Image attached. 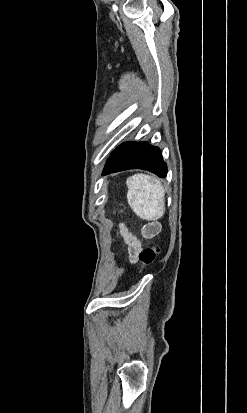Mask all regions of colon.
Here are the masks:
<instances>
[{
    "label": "colon",
    "mask_w": 247,
    "mask_h": 413,
    "mask_svg": "<svg viewBox=\"0 0 247 413\" xmlns=\"http://www.w3.org/2000/svg\"><path fill=\"white\" fill-rule=\"evenodd\" d=\"M160 253L161 249L159 247L142 249V255L139 257L140 262L142 263V266H140V271H146V269L152 267L154 264L153 262Z\"/></svg>",
    "instance_id": "5ec220e1"
}]
</instances>
